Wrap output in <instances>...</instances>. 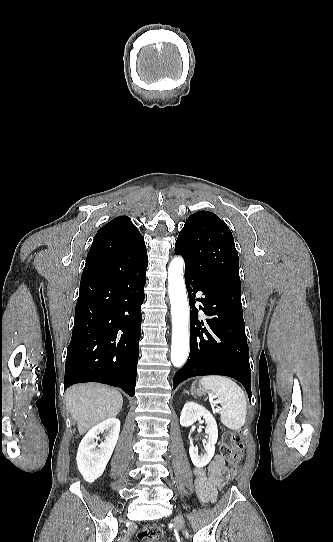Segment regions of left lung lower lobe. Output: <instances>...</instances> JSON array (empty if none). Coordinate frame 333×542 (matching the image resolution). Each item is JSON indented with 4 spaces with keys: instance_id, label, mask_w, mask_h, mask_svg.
<instances>
[{
    "instance_id": "left-lung-lower-lobe-1",
    "label": "left lung lower lobe",
    "mask_w": 333,
    "mask_h": 542,
    "mask_svg": "<svg viewBox=\"0 0 333 542\" xmlns=\"http://www.w3.org/2000/svg\"><path fill=\"white\" fill-rule=\"evenodd\" d=\"M185 283L191 308V347L186 364L174 376L173 388L190 377L223 375L238 380L251 401V371L241 288L206 278L186 267ZM198 291H202L205 297L195 298ZM196 301L202 303L199 308L208 316L201 322Z\"/></svg>"
}]
</instances>
